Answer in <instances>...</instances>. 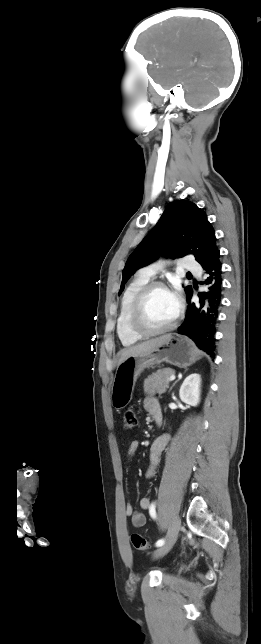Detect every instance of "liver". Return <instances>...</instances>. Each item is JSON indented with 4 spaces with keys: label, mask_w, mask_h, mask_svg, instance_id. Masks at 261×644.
Wrapping results in <instances>:
<instances>
[{
    "label": "liver",
    "mask_w": 261,
    "mask_h": 644,
    "mask_svg": "<svg viewBox=\"0 0 261 644\" xmlns=\"http://www.w3.org/2000/svg\"><path fill=\"white\" fill-rule=\"evenodd\" d=\"M170 337L171 335L169 334L163 335L161 337L151 339L122 350L118 365L121 364L125 359H127L130 356H135V355L150 352L151 350L165 344L170 339Z\"/></svg>",
    "instance_id": "liver-1"
}]
</instances>
